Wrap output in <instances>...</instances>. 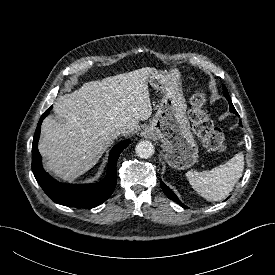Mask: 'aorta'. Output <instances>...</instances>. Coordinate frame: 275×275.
I'll return each instance as SVG.
<instances>
[{
  "label": "aorta",
  "mask_w": 275,
  "mask_h": 275,
  "mask_svg": "<svg viewBox=\"0 0 275 275\" xmlns=\"http://www.w3.org/2000/svg\"><path fill=\"white\" fill-rule=\"evenodd\" d=\"M135 150L140 158L147 159L154 154V145L148 140H143L137 143Z\"/></svg>",
  "instance_id": "obj_1"
}]
</instances>
